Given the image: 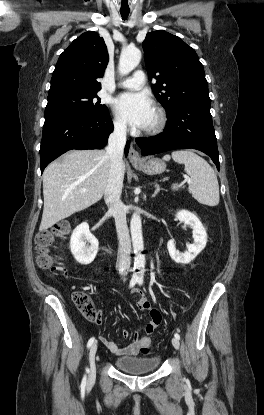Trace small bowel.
I'll list each match as a JSON object with an SVG mask.
<instances>
[{"mask_svg":"<svg viewBox=\"0 0 264 415\" xmlns=\"http://www.w3.org/2000/svg\"><path fill=\"white\" fill-rule=\"evenodd\" d=\"M138 296L136 306L140 310H149V320L143 326V331L147 334H150L161 322V314L156 309H151L150 302L146 297H144L139 291L135 292ZM100 317V322H101ZM123 338L128 339L130 334L128 331H123ZM102 344L113 354L123 357H134L139 354L140 351L146 352L144 345L139 340V334L134 335V341L125 347H119L117 343L107 339L106 337H100Z\"/></svg>","mask_w":264,"mask_h":415,"instance_id":"c3829d8e","label":"small bowel"}]
</instances>
